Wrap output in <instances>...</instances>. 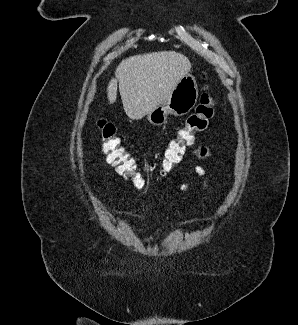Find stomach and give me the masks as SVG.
Wrapping results in <instances>:
<instances>
[{"label": "stomach", "instance_id": "1", "mask_svg": "<svg viewBox=\"0 0 298 325\" xmlns=\"http://www.w3.org/2000/svg\"><path fill=\"white\" fill-rule=\"evenodd\" d=\"M198 84L194 74L188 72L177 82L172 92L166 96L163 104H159L147 114V120L151 124H164L168 114L183 116L194 108L198 100Z\"/></svg>", "mask_w": 298, "mask_h": 325}]
</instances>
